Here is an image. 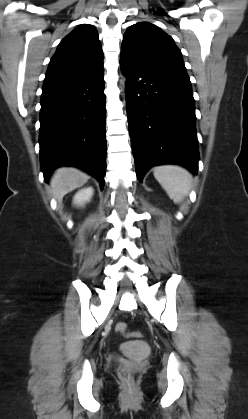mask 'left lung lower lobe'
<instances>
[{"label":"left lung lower lobe","instance_id":"0a47b994","mask_svg":"<svg viewBox=\"0 0 248 419\" xmlns=\"http://www.w3.org/2000/svg\"><path fill=\"white\" fill-rule=\"evenodd\" d=\"M137 178L160 164L198 170V140L191 83L120 58Z\"/></svg>","mask_w":248,"mask_h":419}]
</instances>
